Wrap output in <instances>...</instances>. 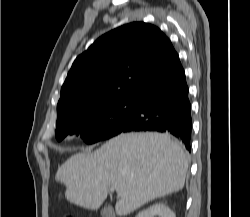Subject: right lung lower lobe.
I'll return each instance as SVG.
<instances>
[{
    "label": "right lung lower lobe",
    "mask_w": 250,
    "mask_h": 217,
    "mask_svg": "<svg viewBox=\"0 0 250 217\" xmlns=\"http://www.w3.org/2000/svg\"><path fill=\"white\" fill-rule=\"evenodd\" d=\"M132 99L134 101L133 117L121 132L170 133L179 139L187 150L191 151V105L185 72L180 61L168 74Z\"/></svg>",
    "instance_id": "98d812e1"
}]
</instances>
